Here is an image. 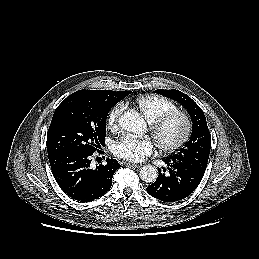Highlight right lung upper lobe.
I'll use <instances>...</instances> for the list:
<instances>
[{
    "label": "right lung upper lobe",
    "instance_id": "1",
    "mask_svg": "<svg viewBox=\"0 0 259 259\" xmlns=\"http://www.w3.org/2000/svg\"><path fill=\"white\" fill-rule=\"evenodd\" d=\"M76 93H86L90 94L93 96L105 98V99H110V100H115V101H120L124 97H126L128 94L131 93V91H111V90H80L77 91Z\"/></svg>",
    "mask_w": 259,
    "mask_h": 259
}]
</instances>
